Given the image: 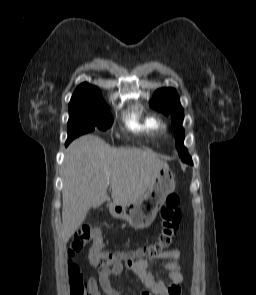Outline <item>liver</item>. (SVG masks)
Instances as JSON below:
<instances>
[{
  "label": "liver",
  "mask_w": 256,
  "mask_h": 295,
  "mask_svg": "<svg viewBox=\"0 0 256 295\" xmlns=\"http://www.w3.org/2000/svg\"><path fill=\"white\" fill-rule=\"evenodd\" d=\"M166 165L151 151L111 147L94 135L74 140L66 150L62 166L63 243L84 222L91 207L108 200V186L113 203L127 205L145 194Z\"/></svg>",
  "instance_id": "obj_1"
}]
</instances>
